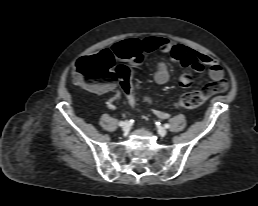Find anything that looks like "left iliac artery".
<instances>
[{"instance_id": "1", "label": "left iliac artery", "mask_w": 258, "mask_h": 206, "mask_svg": "<svg viewBox=\"0 0 258 206\" xmlns=\"http://www.w3.org/2000/svg\"><path fill=\"white\" fill-rule=\"evenodd\" d=\"M164 126H165V128H169V127H170V125H169V124H165Z\"/></svg>"}]
</instances>
